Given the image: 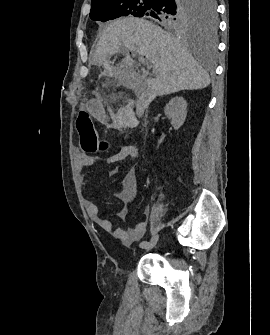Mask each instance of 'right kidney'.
<instances>
[{
  "label": "right kidney",
  "mask_w": 270,
  "mask_h": 335,
  "mask_svg": "<svg viewBox=\"0 0 270 335\" xmlns=\"http://www.w3.org/2000/svg\"><path fill=\"white\" fill-rule=\"evenodd\" d=\"M164 112L169 120H171L174 130H179L183 126L187 114L186 100L182 96L172 98L169 104L165 106Z\"/></svg>",
  "instance_id": "1"
}]
</instances>
